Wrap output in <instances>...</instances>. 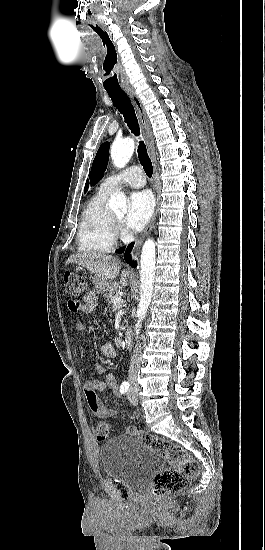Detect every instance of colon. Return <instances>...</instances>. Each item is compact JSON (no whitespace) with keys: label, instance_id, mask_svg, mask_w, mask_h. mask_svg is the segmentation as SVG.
Returning a JSON list of instances; mask_svg holds the SVG:
<instances>
[{"label":"colon","instance_id":"1","mask_svg":"<svg viewBox=\"0 0 265 550\" xmlns=\"http://www.w3.org/2000/svg\"><path fill=\"white\" fill-rule=\"evenodd\" d=\"M64 283L67 293L76 298L69 303L70 309L73 312L80 311L82 303L78 298L87 293L86 279L80 274L66 272ZM109 432L108 422L97 423L96 436L98 440H105ZM127 433L136 436L142 444L170 464V467L160 470L155 476L151 487V494L154 498L161 499L174 494L187 487L190 481L198 476L200 471L198 462L182 447L135 427H129Z\"/></svg>","mask_w":265,"mask_h":550}]
</instances>
